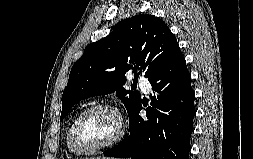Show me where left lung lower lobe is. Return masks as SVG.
Returning a JSON list of instances; mask_svg holds the SVG:
<instances>
[{"instance_id": "1", "label": "left lung lower lobe", "mask_w": 253, "mask_h": 159, "mask_svg": "<svg viewBox=\"0 0 253 159\" xmlns=\"http://www.w3.org/2000/svg\"><path fill=\"white\" fill-rule=\"evenodd\" d=\"M152 107L139 115L141 102L129 115L130 135L105 156L133 159H189L195 94L191 75L179 50L149 79Z\"/></svg>"}]
</instances>
